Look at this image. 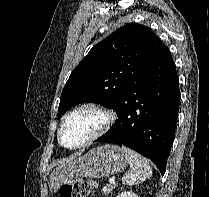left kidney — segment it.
Returning a JSON list of instances; mask_svg holds the SVG:
<instances>
[{
  "mask_svg": "<svg viewBox=\"0 0 209 197\" xmlns=\"http://www.w3.org/2000/svg\"><path fill=\"white\" fill-rule=\"evenodd\" d=\"M117 197H138V196L131 191H124L121 192Z\"/></svg>",
  "mask_w": 209,
  "mask_h": 197,
  "instance_id": "1",
  "label": "left kidney"
}]
</instances>
